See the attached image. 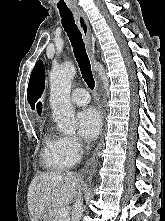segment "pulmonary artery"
<instances>
[{
    "label": "pulmonary artery",
    "instance_id": "pulmonary-artery-1",
    "mask_svg": "<svg viewBox=\"0 0 165 221\" xmlns=\"http://www.w3.org/2000/svg\"><path fill=\"white\" fill-rule=\"evenodd\" d=\"M71 100L74 104L78 106H84L89 103L90 97L85 89L77 88L73 90L71 94Z\"/></svg>",
    "mask_w": 165,
    "mask_h": 221
}]
</instances>
